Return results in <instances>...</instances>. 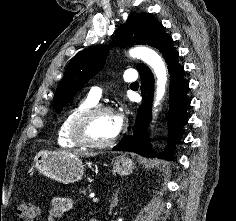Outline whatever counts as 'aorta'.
Returning <instances> with one entry per match:
<instances>
[{
	"instance_id": "aorta-1",
	"label": "aorta",
	"mask_w": 236,
	"mask_h": 221,
	"mask_svg": "<svg viewBox=\"0 0 236 221\" xmlns=\"http://www.w3.org/2000/svg\"><path fill=\"white\" fill-rule=\"evenodd\" d=\"M131 57L141 59L148 64L154 71L157 77V88L154 100L153 113L156 115L157 109H155L161 102L166 89L167 83V70L162 58L152 49L144 46L135 47L129 51Z\"/></svg>"
}]
</instances>
